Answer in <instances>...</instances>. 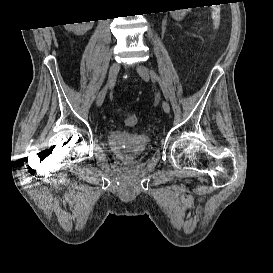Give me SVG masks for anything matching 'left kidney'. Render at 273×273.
Segmentation results:
<instances>
[{"mask_svg": "<svg viewBox=\"0 0 273 273\" xmlns=\"http://www.w3.org/2000/svg\"><path fill=\"white\" fill-rule=\"evenodd\" d=\"M189 11H190V8L180 9V10H173V11H170V13H171V16H172L173 19H175L177 21H180L185 17L187 12H189Z\"/></svg>", "mask_w": 273, "mask_h": 273, "instance_id": "1", "label": "left kidney"}]
</instances>
